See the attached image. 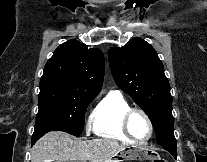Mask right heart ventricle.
<instances>
[{
  "instance_id": "obj_1",
  "label": "right heart ventricle",
  "mask_w": 207,
  "mask_h": 162,
  "mask_svg": "<svg viewBox=\"0 0 207 162\" xmlns=\"http://www.w3.org/2000/svg\"><path fill=\"white\" fill-rule=\"evenodd\" d=\"M130 105L119 91H110L94 108L90 124L96 136L119 141H130L121 128L123 115Z\"/></svg>"
}]
</instances>
